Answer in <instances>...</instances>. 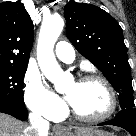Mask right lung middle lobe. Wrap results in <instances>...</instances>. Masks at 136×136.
Returning a JSON list of instances; mask_svg holds the SVG:
<instances>
[{
    "label": "right lung middle lobe",
    "mask_w": 136,
    "mask_h": 136,
    "mask_svg": "<svg viewBox=\"0 0 136 136\" xmlns=\"http://www.w3.org/2000/svg\"><path fill=\"white\" fill-rule=\"evenodd\" d=\"M27 65H0V106L25 107L23 79Z\"/></svg>",
    "instance_id": "right-lung-middle-lobe-1"
}]
</instances>
